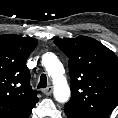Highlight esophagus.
I'll return each instance as SVG.
<instances>
[{
  "mask_svg": "<svg viewBox=\"0 0 118 118\" xmlns=\"http://www.w3.org/2000/svg\"><path fill=\"white\" fill-rule=\"evenodd\" d=\"M52 91H53V88L51 86L42 90V92L47 96L51 95Z\"/></svg>",
  "mask_w": 118,
  "mask_h": 118,
  "instance_id": "1",
  "label": "esophagus"
}]
</instances>
